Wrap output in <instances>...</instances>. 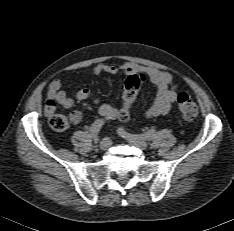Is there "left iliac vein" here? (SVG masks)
Wrapping results in <instances>:
<instances>
[{
  "label": "left iliac vein",
  "mask_w": 234,
  "mask_h": 231,
  "mask_svg": "<svg viewBox=\"0 0 234 231\" xmlns=\"http://www.w3.org/2000/svg\"><path fill=\"white\" fill-rule=\"evenodd\" d=\"M128 142L141 150H146L148 148V144L141 139H128Z\"/></svg>",
  "instance_id": "left-iliac-vein-1"
}]
</instances>
